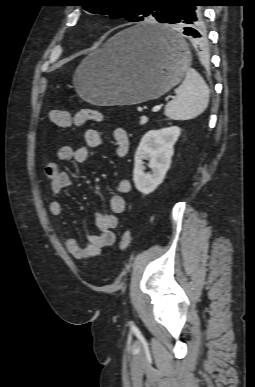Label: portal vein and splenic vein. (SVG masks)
<instances>
[{"label":"portal vein and splenic vein","instance_id":"portal-vein-and-splenic-vein-1","mask_svg":"<svg viewBox=\"0 0 255 387\" xmlns=\"http://www.w3.org/2000/svg\"><path fill=\"white\" fill-rule=\"evenodd\" d=\"M161 109V105H156L152 108L153 112H158Z\"/></svg>","mask_w":255,"mask_h":387}]
</instances>
